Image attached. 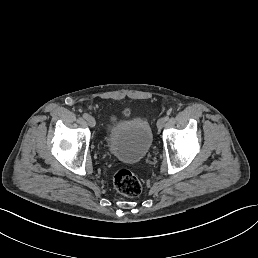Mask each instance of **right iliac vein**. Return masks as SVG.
<instances>
[{
    "label": "right iliac vein",
    "instance_id": "right-iliac-vein-1",
    "mask_svg": "<svg viewBox=\"0 0 258 258\" xmlns=\"http://www.w3.org/2000/svg\"><path fill=\"white\" fill-rule=\"evenodd\" d=\"M87 122L89 126H92L93 128L96 126V119L93 116L87 117Z\"/></svg>",
    "mask_w": 258,
    "mask_h": 258
}]
</instances>
